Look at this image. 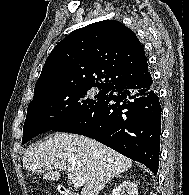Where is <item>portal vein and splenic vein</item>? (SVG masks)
Masks as SVG:
<instances>
[{
  "label": "portal vein and splenic vein",
  "mask_w": 189,
  "mask_h": 195,
  "mask_svg": "<svg viewBox=\"0 0 189 195\" xmlns=\"http://www.w3.org/2000/svg\"><path fill=\"white\" fill-rule=\"evenodd\" d=\"M50 169H52V167H50ZM67 176L72 181L75 188H80L85 183V181L82 178L76 176L75 174L68 173Z\"/></svg>",
  "instance_id": "18ae733b"
}]
</instances>
